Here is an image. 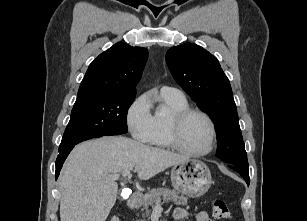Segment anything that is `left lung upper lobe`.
<instances>
[{
    "instance_id": "5c2ea615",
    "label": "left lung upper lobe",
    "mask_w": 307,
    "mask_h": 221,
    "mask_svg": "<svg viewBox=\"0 0 307 221\" xmlns=\"http://www.w3.org/2000/svg\"><path fill=\"white\" fill-rule=\"evenodd\" d=\"M166 62L176 82L214 121L217 157L248 170L232 89L218 60L204 48L186 43L170 48Z\"/></svg>"
}]
</instances>
